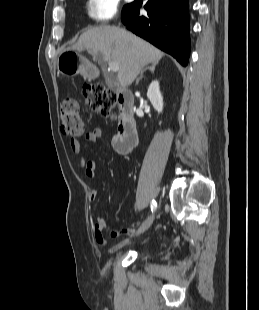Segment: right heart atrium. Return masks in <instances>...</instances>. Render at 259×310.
I'll use <instances>...</instances> for the list:
<instances>
[{
	"mask_svg": "<svg viewBox=\"0 0 259 310\" xmlns=\"http://www.w3.org/2000/svg\"><path fill=\"white\" fill-rule=\"evenodd\" d=\"M85 11L91 21L106 23L118 14L119 0H86Z\"/></svg>",
	"mask_w": 259,
	"mask_h": 310,
	"instance_id": "obj_1",
	"label": "right heart atrium"
}]
</instances>
